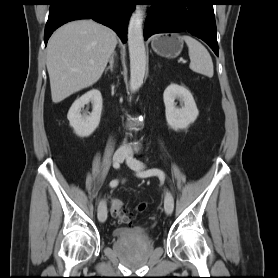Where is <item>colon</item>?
Listing matches in <instances>:
<instances>
[{"instance_id":"5ec220e1","label":"colon","mask_w":278,"mask_h":278,"mask_svg":"<svg viewBox=\"0 0 278 278\" xmlns=\"http://www.w3.org/2000/svg\"><path fill=\"white\" fill-rule=\"evenodd\" d=\"M112 215L124 223H130L133 220V214L129 212L124 203L118 198H112L110 202ZM143 206H140L142 209Z\"/></svg>"}]
</instances>
